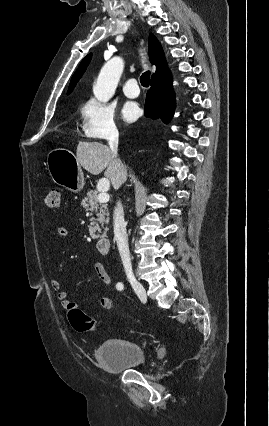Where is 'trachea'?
Here are the masks:
<instances>
[{
	"mask_svg": "<svg viewBox=\"0 0 269 426\" xmlns=\"http://www.w3.org/2000/svg\"><path fill=\"white\" fill-rule=\"evenodd\" d=\"M150 81V71L144 72L140 77V82L143 87H148Z\"/></svg>",
	"mask_w": 269,
	"mask_h": 426,
	"instance_id": "obj_1",
	"label": "trachea"
}]
</instances>
